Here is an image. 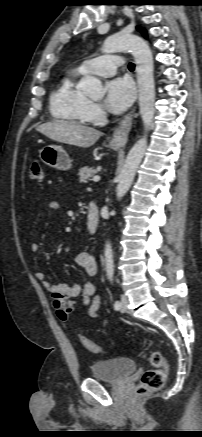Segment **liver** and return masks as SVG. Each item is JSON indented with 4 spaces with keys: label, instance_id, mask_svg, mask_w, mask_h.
<instances>
[{
    "label": "liver",
    "instance_id": "obj_1",
    "mask_svg": "<svg viewBox=\"0 0 202 437\" xmlns=\"http://www.w3.org/2000/svg\"><path fill=\"white\" fill-rule=\"evenodd\" d=\"M37 131L60 143L87 148L95 144L102 132L76 122L55 120L37 127Z\"/></svg>",
    "mask_w": 202,
    "mask_h": 437
}]
</instances>
